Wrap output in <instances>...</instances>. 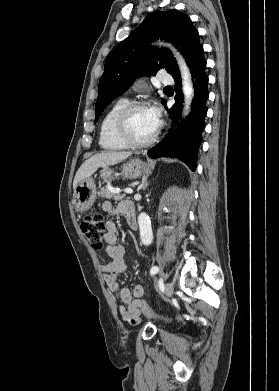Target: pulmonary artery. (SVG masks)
Here are the masks:
<instances>
[{"mask_svg": "<svg viewBox=\"0 0 279 391\" xmlns=\"http://www.w3.org/2000/svg\"><path fill=\"white\" fill-rule=\"evenodd\" d=\"M160 81L163 84H172L173 78L169 74H162V76L160 77Z\"/></svg>", "mask_w": 279, "mask_h": 391, "instance_id": "e3ab8cb5", "label": "pulmonary artery"}]
</instances>
